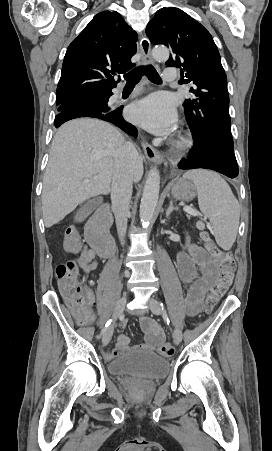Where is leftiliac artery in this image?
<instances>
[{
    "label": "left iliac artery",
    "mask_w": 272,
    "mask_h": 451,
    "mask_svg": "<svg viewBox=\"0 0 272 451\" xmlns=\"http://www.w3.org/2000/svg\"><path fill=\"white\" fill-rule=\"evenodd\" d=\"M161 306H162V308H163V303H161Z\"/></svg>",
    "instance_id": "obj_1"
}]
</instances>
